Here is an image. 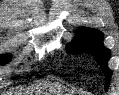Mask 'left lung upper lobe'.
Instances as JSON below:
<instances>
[{
	"instance_id": "obj_1",
	"label": "left lung upper lobe",
	"mask_w": 119,
	"mask_h": 95,
	"mask_svg": "<svg viewBox=\"0 0 119 95\" xmlns=\"http://www.w3.org/2000/svg\"><path fill=\"white\" fill-rule=\"evenodd\" d=\"M103 34L95 29L80 28L74 40L67 45L68 53L86 52L96 57L97 62L106 77V87L109 86L112 71L107 63L110 58V50L103 46Z\"/></svg>"
}]
</instances>
